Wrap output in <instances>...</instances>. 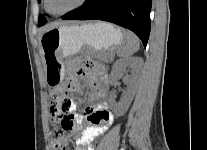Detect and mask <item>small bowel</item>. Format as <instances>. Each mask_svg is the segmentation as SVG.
Listing matches in <instances>:
<instances>
[{"instance_id":"obj_1","label":"small bowel","mask_w":207,"mask_h":150,"mask_svg":"<svg viewBox=\"0 0 207 150\" xmlns=\"http://www.w3.org/2000/svg\"><path fill=\"white\" fill-rule=\"evenodd\" d=\"M77 75L85 78L94 86L93 98L105 96L107 91L106 72L102 66L91 63L89 68L78 67ZM67 86L72 91H80L77 80L73 76L69 78ZM67 108L72 120V131H81L77 139L78 150H93L90 143L110 127L114 120L113 113L108 110L104 101L87 107L83 114H75L76 105L72 100H70V107Z\"/></svg>"}]
</instances>
